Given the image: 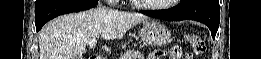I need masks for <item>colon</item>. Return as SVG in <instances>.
Masks as SVG:
<instances>
[{
  "label": "colon",
  "mask_w": 261,
  "mask_h": 59,
  "mask_svg": "<svg viewBox=\"0 0 261 59\" xmlns=\"http://www.w3.org/2000/svg\"><path fill=\"white\" fill-rule=\"evenodd\" d=\"M189 42L191 43L195 53L197 55H200L206 51V44L204 40L199 37V36H190L188 38ZM160 54V53H159ZM164 55L166 57V53L164 52ZM169 58H174V59H180V58H185V56L182 55V49L180 46H173L169 50ZM189 58H192L190 56Z\"/></svg>",
  "instance_id": "5ec220e1"
}]
</instances>
